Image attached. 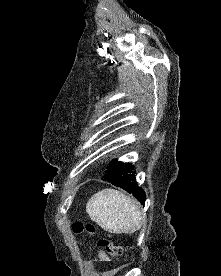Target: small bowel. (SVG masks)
<instances>
[{
	"mask_svg": "<svg viewBox=\"0 0 221 276\" xmlns=\"http://www.w3.org/2000/svg\"><path fill=\"white\" fill-rule=\"evenodd\" d=\"M99 259L104 262L109 261L108 255L104 251L99 252Z\"/></svg>",
	"mask_w": 221,
	"mask_h": 276,
	"instance_id": "c3829d8e",
	"label": "small bowel"
}]
</instances>
